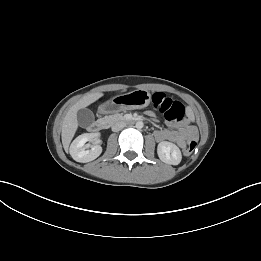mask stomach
Instances as JSON below:
<instances>
[{"instance_id": "1", "label": "stomach", "mask_w": 261, "mask_h": 261, "mask_svg": "<svg viewBox=\"0 0 261 261\" xmlns=\"http://www.w3.org/2000/svg\"><path fill=\"white\" fill-rule=\"evenodd\" d=\"M151 95L147 90H134L118 95L103 103L99 111L103 114H112L123 110L141 109L149 105Z\"/></svg>"}]
</instances>
